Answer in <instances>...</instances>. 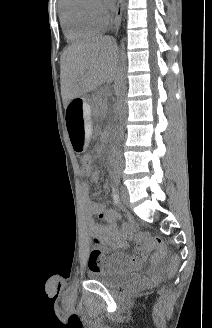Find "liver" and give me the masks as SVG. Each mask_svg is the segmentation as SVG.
I'll list each match as a JSON object with an SVG mask.
<instances>
[{"mask_svg":"<svg viewBox=\"0 0 212 328\" xmlns=\"http://www.w3.org/2000/svg\"><path fill=\"white\" fill-rule=\"evenodd\" d=\"M116 69V44L109 36L93 37L69 46L61 57V94L72 99L111 83Z\"/></svg>","mask_w":212,"mask_h":328,"instance_id":"obj_1","label":"liver"}]
</instances>
